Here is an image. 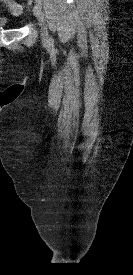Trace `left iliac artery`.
<instances>
[{
  "instance_id": "44dca946",
  "label": "left iliac artery",
  "mask_w": 133,
  "mask_h": 275,
  "mask_svg": "<svg viewBox=\"0 0 133 275\" xmlns=\"http://www.w3.org/2000/svg\"><path fill=\"white\" fill-rule=\"evenodd\" d=\"M35 2H36V4H38V5H42V0H35ZM51 41L53 42V39H51Z\"/></svg>"
}]
</instances>
